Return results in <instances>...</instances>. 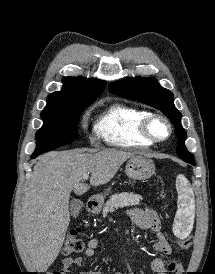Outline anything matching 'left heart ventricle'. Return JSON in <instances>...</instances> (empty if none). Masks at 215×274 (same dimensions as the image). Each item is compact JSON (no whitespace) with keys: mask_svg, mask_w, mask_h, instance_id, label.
Wrapping results in <instances>:
<instances>
[{"mask_svg":"<svg viewBox=\"0 0 215 274\" xmlns=\"http://www.w3.org/2000/svg\"><path fill=\"white\" fill-rule=\"evenodd\" d=\"M153 132L157 137H164L167 134V128L162 122H155Z\"/></svg>","mask_w":215,"mask_h":274,"instance_id":"obj_1","label":"left heart ventricle"}]
</instances>
